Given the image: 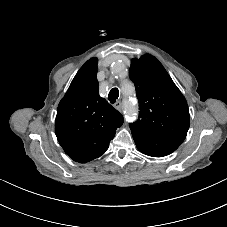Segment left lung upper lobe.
Here are the masks:
<instances>
[{
    "mask_svg": "<svg viewBox=\"0 0 227 227\" xmlns=\"http://www.w3.org/2000/svg\"><path fill=\"white\" fill-rule=\"evenodd\" d=\"M129 76L140 109L139 119L130 128H145L180 145L190 125L188 105L162 64L145 54L132 60Z\"/></svg>",
    "mask_w": 227,
    "mask_h": 227,
    "instance_id": "1",
    "label": "left lung upper lobe"
}]
</instances>
